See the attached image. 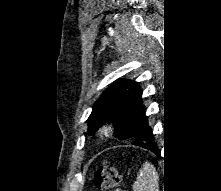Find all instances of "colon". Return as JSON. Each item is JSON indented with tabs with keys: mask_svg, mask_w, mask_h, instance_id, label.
<instances>
[{
	"mask_svg": "<svg viewBox=\"0 0 221 191\" xmlns=\"http://www.w3.org/2000/svg\"><path fill=\"white\" fill-rule=\"evenodd\" d=\"M95 181L101 191H123L116 188L120 182V172L111 163H105L97 170Z\"/></svg>",
	"mask_w": 221,
	"mask_h": 191,
	"instance_id": "colon-1",
	"label": "colon"
}]
</instances>
